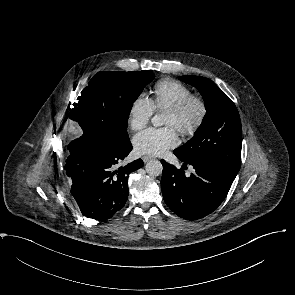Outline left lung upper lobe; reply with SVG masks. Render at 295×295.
Returning a JSON list of instances; mask_svg holds the SVG:
<instances>
[{
    "label": "left lung upper lobe",
    "mask_w": 295,
    "mask_h": 295,
    "mask_svg": "<svg viewBox=\"0 0 295 295\" xmlns=\"http://www.w3.org/2000/svg\"><path fill=\"white\" fill-rule=\"evenodd\" d=\"M180 80L198 89L207 113L194 136L175 151L187 161L215 163L236 176L241 164L242 128L235 104L208 78L183 76Z\"/></svg>",
    "instance_id": "1"
}]
</instances>
